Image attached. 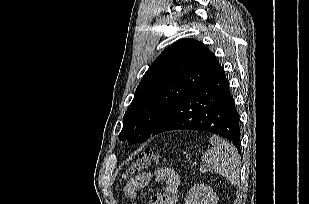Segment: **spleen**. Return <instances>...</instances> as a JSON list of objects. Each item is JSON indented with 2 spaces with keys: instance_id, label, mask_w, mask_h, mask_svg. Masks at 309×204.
<instances>
[{
  "instance_id": "obj_1",
  "label": "spleen",
  "mask_w": 309,
  "mask_h": 204,
  "mask_svg": "<svg viewBox=\"0 0 309 204\" xmlns=\"http://www.w3.org/2000/svg\"><path fill=\"white\" fill-rule=\"evenodd\" d=\"M212 149L202 155V162L212 171L236 184L240 177V159L230 143L219 136L210 138Z\"/></svg>"
}]
</instances>
